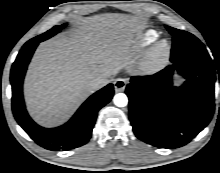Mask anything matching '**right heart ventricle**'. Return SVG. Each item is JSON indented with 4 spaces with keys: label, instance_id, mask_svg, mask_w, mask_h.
I'll return each instance as SVG.
<instances>
[{
    "label": "right heart ventricle",
    "instance_id": "e07e8e85",
    "mask_svg": "<svg viewBox=\"0 0 220 173\" xmlns=\"http://www.w3.org/2000/svg\"><path fill=\"white\" fill-rule=\"evenodd\" d=\"M157 37H158V33L154 30L149 29V30L143 31L132 42L128 52L131 55H136L140 53L148 45H150Z\"/></svg>",
    "mask_w": 220,
    "mask_h": 173
}]
</instances>
